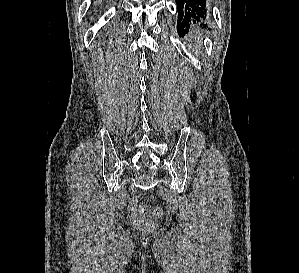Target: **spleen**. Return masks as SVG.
I'll return each mask as SVG.
<instances>
[{"mask_svg":"<svg viewBox=\"0 0 299 273\" xmlns=\"http://www.w3.org/2000/svg\"><path fill=\"white\" fill-rule=\"evenodd\" d=\"M188 40L193 41L192 43V47H193V52L195 53H200L201 50H202V40H203V37L201 35V33L199 31H196L194 33H191L188 35Z\"/></svg>","mask_w":299,"mask_h":273,"instance_id":"1","label":"spleen"}]
</instances>
